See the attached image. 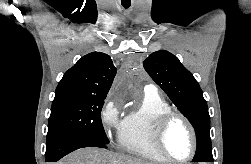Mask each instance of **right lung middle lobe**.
I'll list each match as a JSON object with an SVG mask.
<instances>
[{
	"label": "right lung middle lobe",
	"instance_id": "1",
	"mask_svg": "<svg viewBox=\"0 0 251 164\" xmlns=\"http://www.w3.org/2000/svg\"><path fill=\"white\" fill-rule=\"evenodd\" d=\"M105 98L56 94L48 122L47 143L64 136H79L108 144L100 114Z\"/></svg>",
	"mask_w": 251,
	"mask_h": 164
}]
</instances>
